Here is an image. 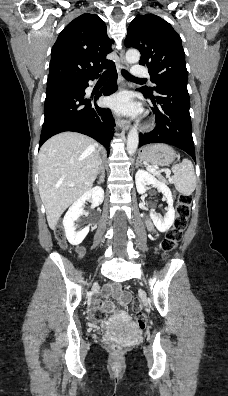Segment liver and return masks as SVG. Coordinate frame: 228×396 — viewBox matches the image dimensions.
Masks as SVG:
<instances>
[{"mask_svg":"<svg viewBox=\"0 0 228 396\" xmlns=\"http://www.w3.org/2000/svg\"><path fill=\"white\" fill-rule=\"evenodd\" d=\"M100 166L99 145L83 134L63 132L43 144L39 193L52 230L62 213L92 187Z\"/></svg>","mask_w":228,"mask_h":396,"instance_id":"6515ba94","label":"liver"}]
</instances>
